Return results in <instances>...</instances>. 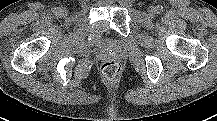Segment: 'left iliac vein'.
Masks as SVG:
<instances>
[{
	"label": "left iliac vein",
	"mask_w": 217,
	"mask_h": 121,
	"mask_svg": "<svg viewBox=\"0 0 217 121\" xmlns=\"http://www.w3.org/2000/svg\"><path fill=\"white\" fill-rule=\"evenodd\" d=\"M155 13H156V9L154 7L151 6V7L148 8V14L150 16H154Z\"/></svg>",
	"instance_id": "4c4485c4"
}]
</instances>
